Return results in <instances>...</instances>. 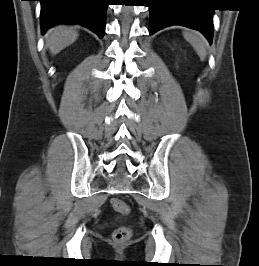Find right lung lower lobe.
Wrapping results in <instances>:
<instances>
[{"label":"right lung lower lobe","mask_w":259,"mask_h":266,"mask_svg":"<svg viewBox=\"0 0 259 266\" xmlns=\"http://www.w3.org/2000/svg\"><path fill=\"white\" fill-rule=\"evenodd\" d=\"M42 33L56 24H81L100 38L105 33L108 0H40Z\"/></svg>","instance_id":"right-lung-lower-lobe-1"}]
</instances>
